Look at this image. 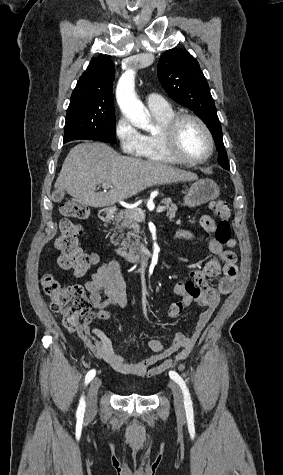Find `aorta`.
I'll return each mask as SVG.
<instances>
[{"label":"aorta","mask_w":283,"mask_h":475,"mask_svg":"<svg viewBox=\"0 0 283 475\" xmlns=\"http://www.w3.org/2000/svg\"><path fill=\"white\" fill-rule=\"evenodd\" d=\"M135 71L127 70L119 79L116 88L117 103L122 113L137 127L152 131L150 114L135 93Z\"/></svg>","instance_id":"aorta-1"}]
</instances>
